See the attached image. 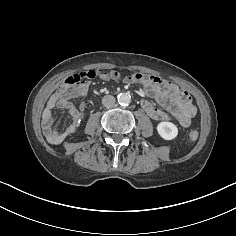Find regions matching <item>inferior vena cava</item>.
Masks as SVG:
<instances>
[{
    "label": "inferior vena cava",
    "mask_w": 236,
    "mask_h": 236,
    "mask_svg": "<svg viewBox=\"0 0 236 236\" xmlns=\"http://www.w3.org/2000/svg\"><path fill=\"white\" fill-rule=\"evenodd\" d=\"M103 106L110 108L113 107L115 104V98L112 95H106L102 99Z\"/></svg>",
    "instance_id": "obj_1"
}]
</instances>
